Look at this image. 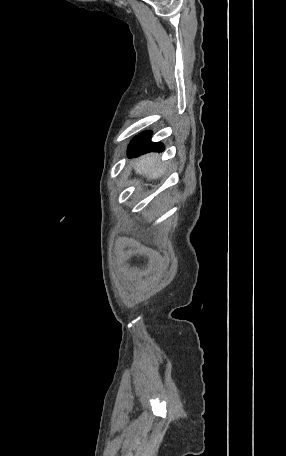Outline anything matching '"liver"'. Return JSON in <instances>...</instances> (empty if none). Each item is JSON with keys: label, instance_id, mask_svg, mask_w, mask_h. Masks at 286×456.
I'll return each mask as SVG.
<instances>
[{"label": "liver", "instance_id": "6515ba94", "mask_svg": "<svg viewBox=\"0 0 286 456\" xmlns=\"http://www.w3.org/2000/svg\"><path fill=\"white\" fill-rule=\"evenodd\" d=\"M134 169L137 174L146 176L149 180H153L158 179L164 174L165 165L159 162L156 154H148L135 161Z\"/></svg>", "mask_w": 286, "mask_h": 456}]
</instances>
